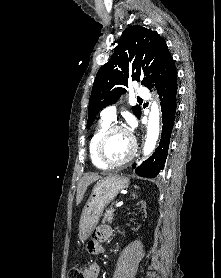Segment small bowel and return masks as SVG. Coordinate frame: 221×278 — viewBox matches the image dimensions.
<instances>
[{
  "label": "small bowel",
  "instance_id": "small-bowel-1",
  "mask_svg": "<svg viewBox=\"0 0 221 278\" xmlns=\"http://www.w3.org/2000/svg\"><path fill=\"white\" fill-rule=\"evenodd\" d=\"M112 236V229L109 226H99L95 232L92 240L88 242V249L93 253H100L103 251L100 242L109 239ZM87 278H98L99 266L96 263H91L86 269Z\"/></svg>",
  "mask_w": 221,
  "mask_h": 278
}]
</instances>
